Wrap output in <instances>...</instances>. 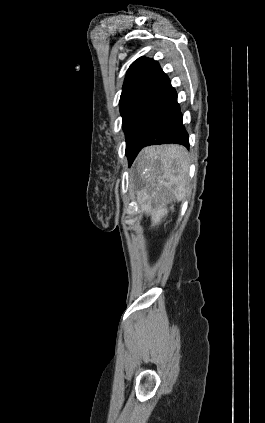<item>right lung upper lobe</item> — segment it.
Here are the masks:
<instances>
[{
  "mask_svg": "<svg viewBox=\"0 0 265 423\" xmlns=\"http://www.w3.org/2000/svg\"><path fill=\"white\" fill-rule=\"evenodd\" d=\"M165 76L156 61L140 57L128 69L120 100L135 95L147 96L158 86Z\"/></svg>",
  "mask_w": 265,
  "mask_h": 423,
  "instance_id": "cb5924a9",
  "label": "right lung upper lobe"
}]
</instances>
